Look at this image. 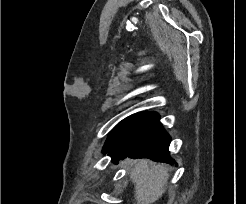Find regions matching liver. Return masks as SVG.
Here are the masks:
<instances>
[{
	"instance_id": "liver-1",
	"label": "liver",
	"mask_w": 246,
	"mask_h": 204,
	"mask_svg": "<svg viewBox=\"0 0 246 204\" xmlns=\"http://www.w3.org/2000/svg\"><path fill=\"white\" fill-rule=\"evenodd\" d=\"M125 165H129L126 160ZM130 178L135 187L134 204H154L165 192L169 175L164 164L150 165L147 159H141L131 169Z\"/></svg>"
}]
</instances>
